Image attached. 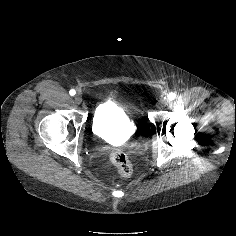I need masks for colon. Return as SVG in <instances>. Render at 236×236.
Returning <instances> with one entry per match:
<instances>
[{"label":"colon","mask_w":236,"mask_h":236,"mask_svg":"<svg viewBox=\"0 0 236 236\" xmlns=\"http://www.w3.org/2000/svg\"><path fill=\"white\" fill-rule=\"evenodd\" d=\"M110 161L117 168L123 178H129L132 175L133 168L128 156L120 151L115 150L110 154Z\"/></svg>","instance_id":"obj_1"}]
</instances>
